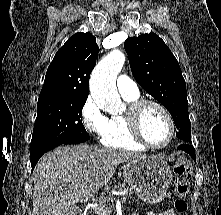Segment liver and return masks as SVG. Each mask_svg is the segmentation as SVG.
Returning <instances> with one entry per match:
<instances>
[{
  "label": "liver",
  "instance_id": "1",
  "mask_svg": "<svg viewBox=\"0 0 221 215\" xmlns=\"http://www.w3.org/2000/svg\"><path fill=\"white\" fill-rule=\"evenodd\" d=\"M124 150L80 144L44 154L33 171V215H66L109 182L120 163L144 159Z\"/></svg>",
  "mask_w": 221,
  "mask_h": 215
}]
</instances>
